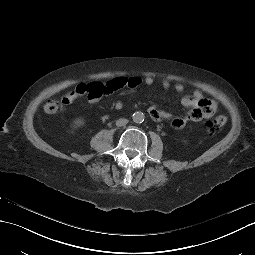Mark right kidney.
I'll return each mask as SVG.
<instances>
[{
    "instance_id": "ca27d5eb",
    "label": "right kidney",
    "mask_w": 255,
    "mask_h": 255,
    "mask_svg": "<svg viewBox=\"0 0 255 255\" xmlns=\"http://www.w3.org/2000/svg\"><path fill=\"white\" fill-rule=\"evenodd\" d=\"M83 122L81 121V120H77L76 122H75V124L77 125V126H79V125H81Z\"/></svg>"
}]
</instances>
